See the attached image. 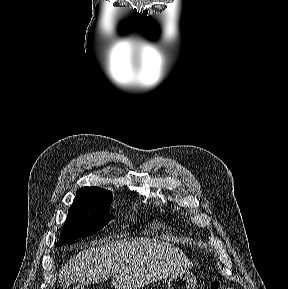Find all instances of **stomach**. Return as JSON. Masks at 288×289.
<instances>
[{
    "mask_svg": "<svg viewBox=\"0 0 288 289\" xmlns=\"http://www.w3.org/2000/svg\"><path fill=\"white\" fill-rule=\"evenodd\" d=\"M196 285V277L189 271L175 273L168 279V289H196Z\"/></svg>",
    "mask_w": 288,
    "mask_h": 289,
    "instance_id": "1",
    "label": "stomach"
}]
</instances>
